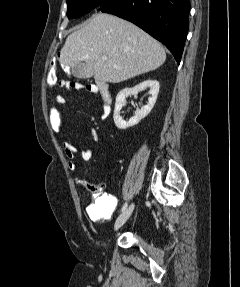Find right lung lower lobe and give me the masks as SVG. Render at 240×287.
Here are the masks:
<instances>
[{"mask_svg":"<svg viewBox=\"0 0 240 287\" xmlns=\"http://www.w3.org/2000/svg\"><path fill=\"white\" fill-rule=\"evenodd\" d=\"M189 0H106L99 6L104 13L126 19L171 51L180 63L189 29Z\"/></svg>","mask_w":240,"mask_h":287,"instance_id":"obj_1","label":"right lung lower lobe"}]
</instances>
